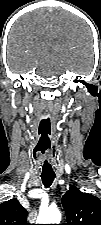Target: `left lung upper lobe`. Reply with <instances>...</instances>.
Segmentation results:
<instances>
[{
	"mask_svg": "<svg viewBox=\"0 0 101 225\" xmlns=\"http://www.w3.org/2000/svg\"><path fill=\"white\" fill-rule=\"evenodd\" d=\"M67 224L101 225V201L88 193L71 186L62 197Z\"/></svg>",
	"mask_w": 101,
	"mask_h": 225,
	"instance_id": "5c2ea615",
	"label": "left lung upper lobe"
}]
</instances>
